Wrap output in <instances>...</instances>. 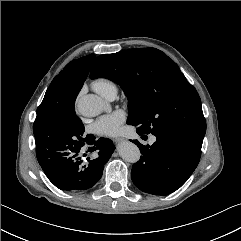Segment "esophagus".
I'll list each match as a JSON object with an SVG mask.
<instances>
[{
    "label": "esophagus",
    "mask_w": 241,
    "mask_h": 241,
    "mask_svg": "<svg viewBox=\"0 0 241 241\" xmlns=\"http://www.w3.org/2000/svg\"><path fill=\"white\" fill-rule=\"evenodd\" d=\"M113 141H114L116 144H119V143H121V142L125 141V139H124V138L119 137V138H115Z\"/></svg>",
    "instance_id": "34e87169"
}]
</instances>
